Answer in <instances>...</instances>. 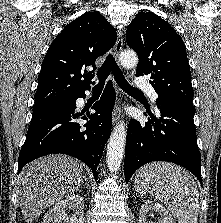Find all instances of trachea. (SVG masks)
<instances>
[{
  "mask_svg": "<svg viewBox=\"0 0 221 223\" xmlns=\"http://www.w3.org/2000/svg\"><path fill=\"white\" fill-rule=\"evenodd\" d=\"M110 73L114 75L115 81L124 91L135 94H143L140 90L134 88L128 83L111 53L107 55L102 67L98 71L97 75L99 78V83L95 86V88H102L104 86L105 79Z\"/></svg>",
  "mask_w": 221,
  "mask_h": 223,
  "instance_id": "3493384b",
  "label": "trachea"
}]
</instances>
